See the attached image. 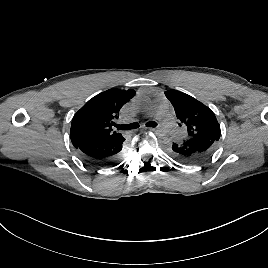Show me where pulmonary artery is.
Returning <instances> with one entry per match:
<instances>
[{
    "mask_svg": "<svg viewBox=\"0 0 268 268\" xmlns=\"http://www.w3.org/2000/svg\"><path fill=\"white\" fill-rule=\"evenodd\" d=\"M152 115L161 121L164 128L169 133H177L179 129L175 124L174 117L169 109L168 102L165 98L155 102L152 108Z\"/></svg>",
    "mask_w": 268,
    "mask_h": 268,
    "instance_id": "e3ab8cb5",
    "label": "pulmonary artery"
}]
</instances>
